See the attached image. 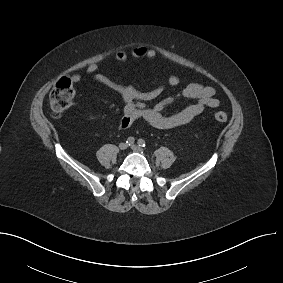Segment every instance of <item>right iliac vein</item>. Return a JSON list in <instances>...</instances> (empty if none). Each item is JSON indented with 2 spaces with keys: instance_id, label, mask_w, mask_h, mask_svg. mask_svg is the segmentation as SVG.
Instances as JSON below:
<instances>
[{
  "instance_id": "63e3f726",
  "label": "right iliac vein",
  "mask_w": 283,
  "mask_h": 283,
  "mask_svg": "<svg viewBox=\"0 0 283 283\" xmlns=\"http://www.w3.org/2000/svg\"><path fill=\"white\" fill-rule=\"evenodd\" d=\"M127 148V144L125 142H122L119 144V149L120 150H125Z\"/></svg>"
}]
</instances>
